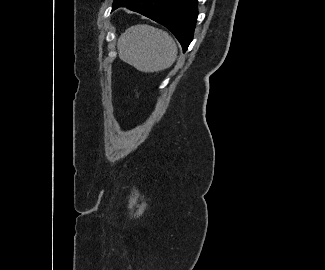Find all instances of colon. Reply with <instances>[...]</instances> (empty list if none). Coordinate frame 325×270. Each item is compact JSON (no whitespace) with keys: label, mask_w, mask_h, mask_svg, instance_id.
I'll return each instance as SVG.
<instances>
[{"label":"colon","mask_w":325,"mask_h":270,"mask_svg":"<svg viewBox=\"0 0 325 270\" xmlns=\"http://www.w3.org/2000/svg\"><path fill=\"white\" fill-rule=\"evenodd\" d=\"M138 96H139V93H138L137 90H135V97H136V99L138 98Z\"/></svg>","instance_id":"1"}]
</instances>
